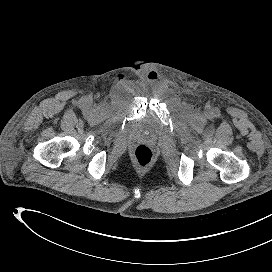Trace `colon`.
I'll return each instance as SVG.
<instances>
[{"instance_id":"obj_1","label":"colon","mask_w":272,"mask_h":272,"mask_svg":"<svg viewBox=\"0 0 272 272\" xmlns=\"http://www.w3.org/2000/svg\"><path fill=\"white\" fill-rule=\"evenodd\" d=\"M133 162L139 167H147L153 161V152L146 145L137 146L132 154Z\"/></svg>"}]
</instances>
